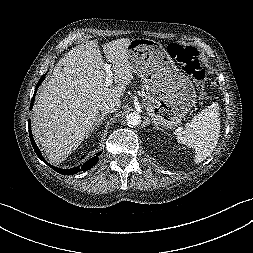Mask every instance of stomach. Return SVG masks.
I'll return each instance as SVG.
<instances>
[{
  "label": "stomach",
  "instance_id": "stomach-1",
  "mask_svg": "<svg viewBox=\"0 0 253 253\" xmlns=\"http://www.w3.org/2000/svg\"><path fill=\"white\" fill-rule=\"evenodd\" d=\"M130 65L143 79L148 102L146 111L156 126L176 127L194 106L196 91L159 42L146 38L126 47Z\"/></svg>",
  "mask_w": 253,
  "mask_h": 253
}]
</instances>
